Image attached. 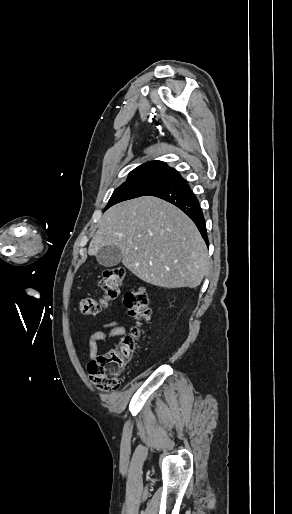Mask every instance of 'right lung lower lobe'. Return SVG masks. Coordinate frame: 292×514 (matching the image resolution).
Listing matches in <instances>:
<instances>
[{
    "label": "right lung lower lobe",
    "instance_id": "98d812e1",
    "mask_svg": "<svg viewBox=\"0 0 292 514\" xmlns=\"http://www.w3.org/2000/svg\"><path fill=\"white\" fill-rule=\"evenodd\" d=\"M143 196H155L177 206L195 223L208 245L205 219L198 199L178 172L152 187Z\"/></svg>",
    "mask_w": 292,
    "mask_h": 514
}]
</instances>
